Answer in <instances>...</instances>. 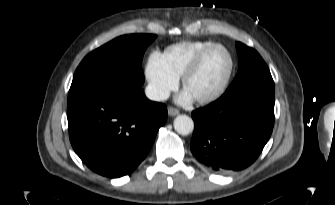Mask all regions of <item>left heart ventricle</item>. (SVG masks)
I'll return each mask as SVG.
<instances>
[{
  "instance_id": "left-heart-ventricle-1",
  "label": "left heart ventricle",
  "mask_w": 335,
  "mask_h": 205,
  "mask_svg": "<svg viewBox=\"0 0 335 205\" xmlns=\"http://www.w3.org/2000/svg\"><path fill=\"white\" fill-rule=\"evenodd\" d=\"M229 65V57L223 49L212 50L206 55L198 71L190 77L185 90L193 98L210 94L223 81Z\"/></svg>"
}]
</instances>
